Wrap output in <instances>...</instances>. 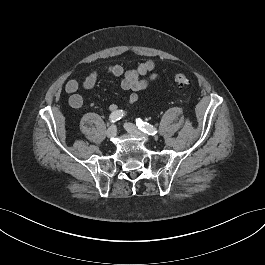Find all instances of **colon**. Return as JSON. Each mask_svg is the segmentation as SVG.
<instances>
[{
    "instance_id": "1",
    "label": "colon",
    "mask_w": 265,
    "mask_h": 265,
    "mask_svg": "<svg viewBox=\"0 0 265 265\" xmlns=\"http://www.w3.org/2000/svg\"><path fill=\"white\" fill-rule=\"evenodd\" d=\"M175 85L179 89H183L189 85V79L188 77L183 73H177L173 77Z\"/></svg>"
}]
</instances>
